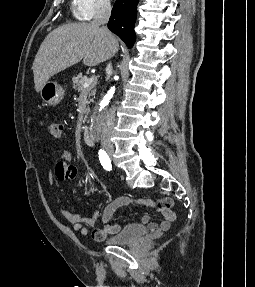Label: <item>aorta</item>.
Masks as SVG:
<instances>
[{
	"label": "aorta",
	"instance_id": "762f6f07",
	"mask_svg": "<svg viewBox=\"0 0 255 287\" xmlns=\"http://www.w3.org/2000/svg\"><path fill=\"white\" fill-rule=\"evenodd\" d=\"M114 91H115V87H111L110 90H109V91L107 92V94L105 95L104 101H105V100H106V101L109 100V99L112 97Z\"/></svg>",
	"mask_w": 255,
	"mask_h": 287
}]
</instances>
